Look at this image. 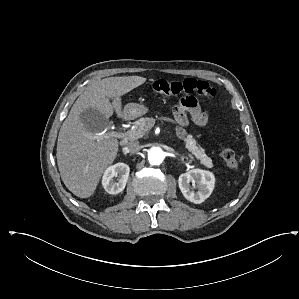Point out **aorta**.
<instances>
[{
  "mask_svg": "<svg viewBox=\"0 0 299 299\" xmlns=\"http://www.w3.org/2000/svg\"><path fill=\"white\" fill-rule=\"evenodd\" d=\"M164 157V152L160 147L154 146L148 150V161L151 165H160Z\"/></svg>",
  "mask_w": 299,
  "mask_h": 299,
  "instance_id": "1",
  "label": "aorta"
}]
</instances>
